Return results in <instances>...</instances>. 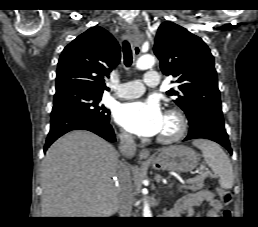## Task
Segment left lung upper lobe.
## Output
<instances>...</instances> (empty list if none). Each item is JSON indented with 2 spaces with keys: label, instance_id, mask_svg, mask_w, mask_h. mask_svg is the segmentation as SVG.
<instances>
[{
  "label": "left lung upper lobe",
  "instance_id": "obj_1",
  "mask_svg": "<svg viewBox=\"0 0 258 227\" xmlns=\"http://www.w3.org/2000/svg\"><path fill=\"white\" fill-rule=\"evenodd\" d=\"M154 53L162 72L175 78L177 89L167 94L176 97L174 102L186 113L189 123L205 111L222 112L214 57L201 38L166 21L156 34Z\"/></svg>",
  "mask_w": 258,
  "mask_h": 227
}]
</instances>
